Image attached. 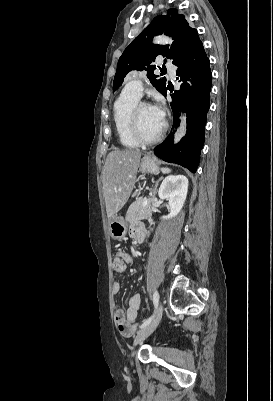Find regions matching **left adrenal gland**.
Masks as SVG:
<instances>
[{"instance_id": "obj_1", "label": "left adrenal gland", "mask_w": 273, "mask_h": 401, "mask_svg": "<svg viewBox=\"0 0 273 401\" xmlns=\"http://www.w3.org/2000/svg\"><path fill=\"white\" fill-rule=\"evenodd\" d=\"M163 176H160V178H158V180H156L155 184H154V188H153V196H155V194H157V186L160 182V180H162Z\"/></svg>"}]
</instances>
